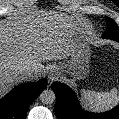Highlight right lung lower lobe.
<instances>
[{"instance_id": "right-lung-lower-lobe-1", "label": "right lung lower lobe", "mask_w": 119, "mask_h": 119, "mask_svg": "<svg viewBox=\"0 0 119 119\" xmlns=\"http://www.w3.org/2000/svg\"><path fill=\"white\" fill-rule=\"evenodd\" d=\"M46 87L45 79L15 87L0 99V119H25L29 106Z\"/></svg>"}]
</instances>
